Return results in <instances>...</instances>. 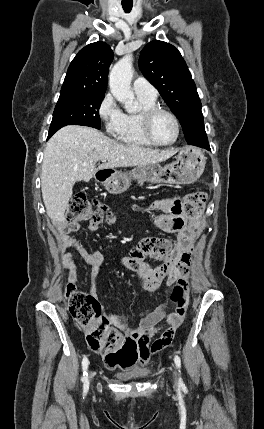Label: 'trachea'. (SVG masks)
<instances>
[{
  "instance_id": "1",
  "label": "trachea",
  "mask_w": 264,
  "mask_h": 429,
  "mask_svg": "<svg viewBox=\"0 0 264 429\" xmlns=\"http://www.w3.org/2000/svg\"><path fill=\"white\" fill-rule=\"evenodd\" d=\"M122 7H123V10H124L126 13H129V12L131 11L132 7H133V4H125V3H122Z\"/></svg>"
}]
</instances>
